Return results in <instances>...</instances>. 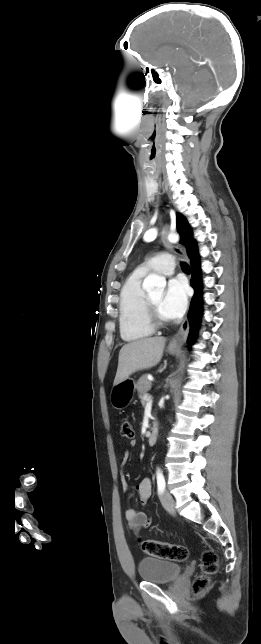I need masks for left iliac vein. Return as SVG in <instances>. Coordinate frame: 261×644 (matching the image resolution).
<instances>
[{
    "label": "left iliac vein",
    "instance_id": "4c4485c4",
    "mask_svg": "<svg viewBox=\"0 0 261 644\" xmlns=\"http://www.w3.org/2000/svg\"><path fill=\"white\" fill-rule=\"evenodd\" d=\"M160 500H161V503H162L163 507L167 511H169L171 513L175 512V500H174V498L172 497V495L168 491H164L161 494Z\"/></svg>",
    "mask_w": 261,
    "mask_h": 644
}]
</instances>
